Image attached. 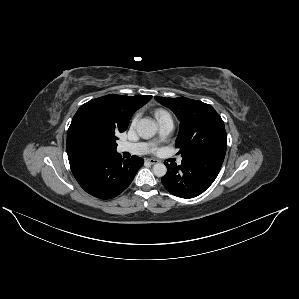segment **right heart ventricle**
<instances>
[{"label":"right heart ventricle","instance_id":"e07e8e85","mask_svg":"<svg viewBox=\"0 0 299 299\" xmlns=\"http://www.w3.org/2000/svg\"><path fill=\"white\" fill-rule=\"evenodd\" d=\"M155 117L156 119L159 121L165 117H171L170 114L166 111V110H163V109H157L155 111Z\"/></svg>","mask_w":299,"mask_h":299}]
</instances>
